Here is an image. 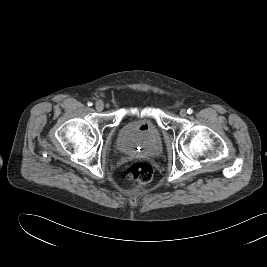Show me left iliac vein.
<instances>
[{
    "label": "left iliac vein",
    "instance_id": "obj_1",
    "mask_svg": "<svg viewBox=\"0 0 267 267\" xmlns=\"http://www.w3.org/2000/svg\"><path fill=\"white\" fill-rule=\"evenodd\" d=\"M187 115V110L186 109H181L180 110V116L185 117Z\"/></svg>",
    "mask_w": 267,
    "mask_h": 267
}]
</instances>
